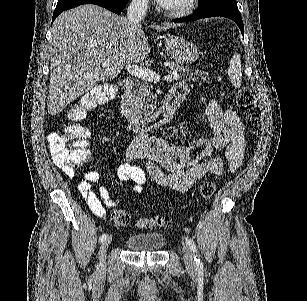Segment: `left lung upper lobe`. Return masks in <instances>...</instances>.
Instances as JSON below:
<instances>
[{
  "label": "left lung upper lobe",
  "mask_w": 307,
  "mask_h": 301,
  "mask_svg": "<svg viewBox=\"0 0 307 301\" xmlns=\"http://www.w3.org/2000/svg\"><path fill=\"white\" fill-rule=\"evenodd\" d=\"M200 4L196 12L208 10H220L240 13L235 0H199Z\"/></svg>",
  "instance_id": "obj_1"
}]
</instances>
